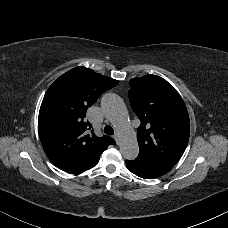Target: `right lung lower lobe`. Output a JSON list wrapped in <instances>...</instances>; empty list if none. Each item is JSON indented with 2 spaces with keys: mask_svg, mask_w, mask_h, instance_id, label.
Masks as SVG:
<instances>
[{
  "mask_svg": "<svg viewBox=\"0 0 228 228\" xmlns=\"http://www.w3.org/2000/svg\"><path fill=\"white\" fill-rule=\"evenodd\" d=\"M99 158H100V156L88 161L87 163H85L84 165L80 166L79 168H77L72 173H80V172H83V171H85L87 169H90V168L94 167L98 163Z\"/></svg>",
  "mask_w": 228,
  "mask_h": 228,
  "instance_id": "right-lung-lower-lobe-1",
  "label": "right lung lower lobe"
}]
</instances>
